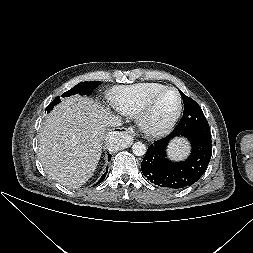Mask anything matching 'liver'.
Returning a JSON list of instances; mask_svg holds the SVG:
<instances>
[{
  "mask_svg": "<svg viewBox=\"0 0 253 253\" xmlns=\"http://www.w3.org/2000/svg\"><path fill=\"white\" fill-rule=\"evenodd\" d=\"M109 112L82 96L62 100L39 134V158L58 183L78 188L92 177L101 157Z\"/></svg>",
  "mask_w": 253,
  "mask_h": 253,
  "instance_id": "liver-1",
  "label": "liver"
}]
</instances>
